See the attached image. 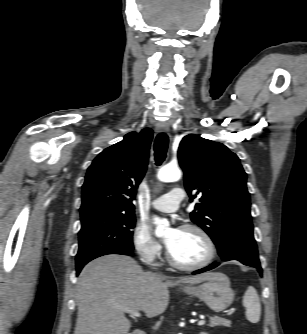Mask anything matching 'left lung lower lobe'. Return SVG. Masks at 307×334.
Wrapping results in <instances>:
<instances>
[{"mask_svg":"<svg viewBox=\"0 0 307 334\" xmlns=\"http://www.w3.org/2000/svg\"><path fill=\"white\" fill-rule=\"evenodd\" d=\"M219 255L223 261H238L244 265L256 268L258 272L262 274V268L258 258L257 245L253 234H235L230 236ZM218 265V262H214L208 267L195 271L193 274H199L211 270Z\"/></svg>","mask_w":307,"mask_h":334,"instance_id":"1","label":"left lung lower lobe"}]
</instances>
